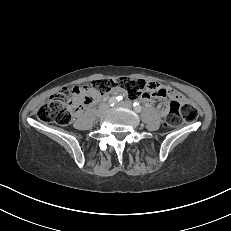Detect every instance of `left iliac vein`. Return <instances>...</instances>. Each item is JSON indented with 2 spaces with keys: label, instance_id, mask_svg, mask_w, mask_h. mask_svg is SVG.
<instances>
[{
  "label": "left iliac vein",
  "instance_id": "left-iliac-vein-1",
  "mask_svg": "<svg viewBox=\"0 0 231 231\" xmlns=\"http://www.w3.org/2000/svg\"><path fill=\"white\" fill-rule=\"evenodd\" d=\"M119 106L126 107V108H132V103L130 101H124L119 103Z\"/></svg>",
  "mask_w": 231,
  "mask_h": 231
}]
</instances>
